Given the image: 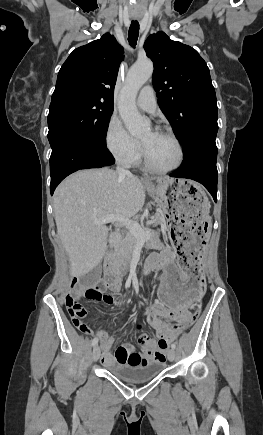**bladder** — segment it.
I'll list each match as a JSON object with an SVG mask.
<instances>
[{
    "instance_id": "1",
    "label": "bladder",
    "mask_w": 263,
    "mask_h": 435,
    "mask_svg": "<svg viewBox=\"0 0 263 435\" xmlns=\"http://www.w3.org/2000/svg\"><path fill=\"white\" fill-rule=\"evenodd\" d=\"M164 368V362L154 360L142 365H122L113 364L108 366V370L124 381L128 382H144L158 376Z\"/></svg>"
}]
</instances>
